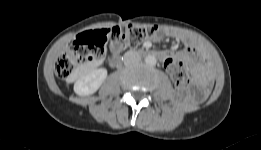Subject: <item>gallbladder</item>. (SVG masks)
I'll return each instance as SVG.
<instances>
[{
  "instance_id": "bac80fb5",
  "label": "gallbladder",
  "mask_w": 261,
  "mask_h": 150,
  "mask_svg": "<svg viewBox=\"0 0 261 150\" xmlns=\"http://www.w3.org/2000/svg\"><path fill=\"white\" fill-rule=\"evenodd\" d=\"M119 47H120L119 44H114V47H113V48H114L115 50H117Z\"/></svg>"
}]
</instances>
